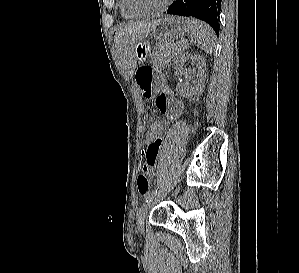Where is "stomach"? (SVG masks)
Returning <instances> with one entry per match:
<instances>
[{"label": "stomach", "instance_id": "1", "mask_svg": "<svg viewBox=\"0 0 299 273\" xmlns=\"http://www.w3.org/2000/svg\"><path fill=\"white\" fill-rule=\"evenodd\" d=\"M187 30L186 22L184 18L176 16H168L159 19L154 30L150 36L166 43H171L174 40L183 37ZM144 40L138 43L136 47L137 59L147 53L146 43ZM163 73L158 69H152V67H135V82L139 87L141 93L147 97L148 101H153L154 97L149 96L151 92H154L163 81Z\"/></svg>", "mask_w": 299, "mask_h": 273}]
</instances>
